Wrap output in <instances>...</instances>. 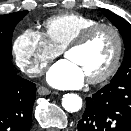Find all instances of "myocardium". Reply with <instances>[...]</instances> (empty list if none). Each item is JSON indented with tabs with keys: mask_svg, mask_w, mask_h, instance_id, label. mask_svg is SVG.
Returning <instances> with one entry per match:
<instances>
[{
	"mask_svg": "<svg viewBox=\"0 0 131 131\" xmlns=\"http://www.w3.org/2000/svg\"><path fill=\"white\" fill-rule=\"evenodd\" d=\"M101 29H108L113 32L116 38V51L111 64L104 72L98 76L86 79L87 83L92 85L107 81L117 71L124 50V40L120 30L115 25L110 23H98L83 30L63 49V55L66 56L69 51L84 46L90 40V38Z\"/></svg>",
	"mask_w": 131,
	"mask_h": 131,
	"instance_id": "myocardium-1",
	"label": "myocardium"
}]
</instances>
